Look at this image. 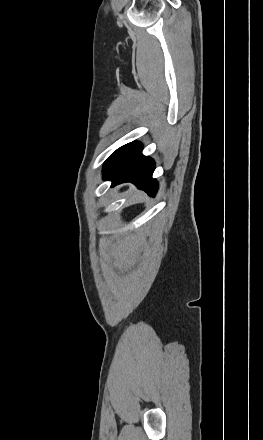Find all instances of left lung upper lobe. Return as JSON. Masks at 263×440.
<instances>
[{"label": "left lung upper lobe", "instance_id": "5c2ea615", "mask_svg": "<svg viewBox=\"0 0 263 440\" xmlns=\"http://www.w3.org/2000/svg\"><path fill=\"white\" fill-rule=\"evenodd\" d=\"M111 157V156H110ZM110 157L106 160V162H105V164H104V166L107 164V162L109 161V159H110Z\"/></svg>", "mask_w": 263, "mask_h": 440}]
</instances>
